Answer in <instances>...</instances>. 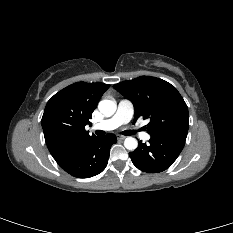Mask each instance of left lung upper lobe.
Wrapping results in <instances>:
<instances>
[{
    "label": "left lung upper lobe",
    "instance_id": "obj_1",
    "mask_svg": "<svg viewBox=\"0 0 233 233\" xmlns=\"http://www.w3.org/2000/svg\"><path fill=\"white\" fill-rule=\"evenodd\" d=\"M135 108L134 122L139 118L150 119L147 132L151 137L187 136L188 108L177 89L159 78L141 76L113 86Z\"/></svg>",
    "mask_w": 233,
    "mask_h": 233
}]
</instances>
